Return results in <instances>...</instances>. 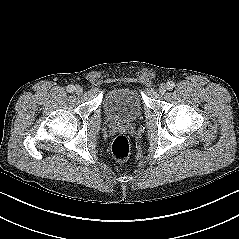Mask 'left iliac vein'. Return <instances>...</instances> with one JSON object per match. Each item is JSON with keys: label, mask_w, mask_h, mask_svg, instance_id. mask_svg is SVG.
I'll return each mask as SVG.
<instances>
[{"label": "left iliac vein", "mask_w": 239, "mask_h": 239, "mask_svg": "<svg viewBox=\"0 0 239 239\" xmlns=\"http://www.w3.org/2000/svg\"><path fill=\"white\" fill-rule=\"evenodd\" d=\"M166 91H167V86H166L165 84H162V85L159 87V93H160V94H164Z\"/></svg>", "instance_id": "1"}]
</instances>
